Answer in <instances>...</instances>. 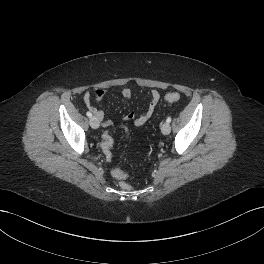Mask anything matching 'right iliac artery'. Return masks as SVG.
<instances>
[{
	"label": "right iliac artery",
	"instance_id": "1",
	"mask_svg": "<svg viewBox=\"0 0 264 264\" xmlns=\"http://www.w3.org/2000/svg\"><path fill=\"white\" fill-rule=\"evenodd\" d=\"M86 115H87L88 117H90V118L92 117V114H91V112H89V111L86 113Z\"/></svg>",
	"mask_w": 264,
	"mask_h": 264
}]
</instances>
